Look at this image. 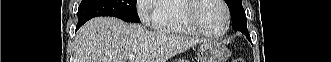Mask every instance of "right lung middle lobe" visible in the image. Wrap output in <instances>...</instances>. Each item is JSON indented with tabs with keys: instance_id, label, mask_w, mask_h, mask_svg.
I'll use <instances>...</instances> for the list:
<instances>
[{
	"instance_id": "dd1d6c3e",
	"label": "right lung middle lobe",
	"mask_w": 331,
	"mask_h": 62,
	"mask_svg": "<svg viewBox=\"0 0 331 62\" xmlns=\"http://www.w3.org/2000/svg\"><path fill=\"white\" fill-rule=\"evenodd\" d=\"M97 16H114L126 22H140L136 0H82L78 9V26Z\"/></svg>"
}]
</instances>
